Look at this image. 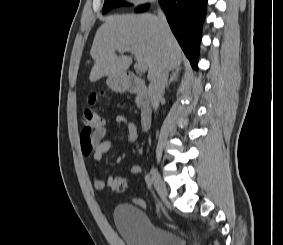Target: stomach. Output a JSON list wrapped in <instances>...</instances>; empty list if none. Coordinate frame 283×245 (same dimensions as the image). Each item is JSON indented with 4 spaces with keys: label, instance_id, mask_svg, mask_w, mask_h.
<instances>
[{
    "label": "stomach",
    "instance_id": "obj_1",
    "mask_svg": "<svg viewBox=\"0 0 283 245\" xmlns=\"http://www.w3.org/2000/svg\"><path fill=\"white\" fill-rule=\"evenodd\" d=\"M107 84L112 88H120L124 85V82L121 77L109 76Z\"/></svg>",
    "mask_w": 283,
    "mask_h": 245
}]
</instances>
